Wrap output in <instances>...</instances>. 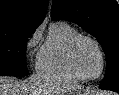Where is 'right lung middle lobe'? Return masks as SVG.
Masks as SVG:
<instances>
[{
	"mask_svg": "<svg viewBox=\"0 0 119 95\" xmlns=\"http://www.w3.org/2000/svg\"><path fill=\"white\" fill-rule=\"evenodd\" d=\"M35 30V27L15 26L0 32V75H28L25 61L27 38Z\"/></svg>",
	"mask_w": 119,
	"mask_h": 95,
	"instance_id": "obj_1",
	"label": "right lung middle lobe"
}]
</instances>
